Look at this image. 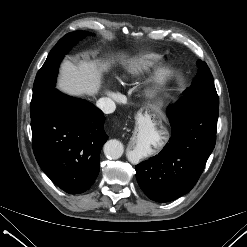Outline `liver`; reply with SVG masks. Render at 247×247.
I'll return each mask as SVG.
<instances>
[{
	"mask_svg": "<svg viewBox=\"0 0 247 247\" xmlns=\"http://www.w3.org/2000/svg\"><path fill=\"white\" fill-rule=\"evenodd\" d=\"M109 64L98 61H80L77 65L64 61L57 88L71 96H95L101 88L102 72Z\"/></svg>",
	"mask_w": 247,
	"mask_h": 247,
	"instance_id": "liver-1",
	"label": "liver"
}]
</instances>
